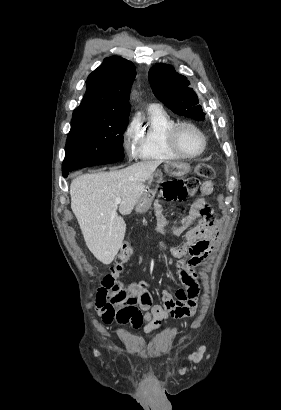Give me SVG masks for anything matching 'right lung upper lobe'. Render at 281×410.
<instances>
[{"label":"right lung upper lobe","instance_id":"cb5924a9","mask_svg":"<svg viewBox=\"0 0 281 410\" xmlns=\"http://www.w3.org/2000/svg\"><path fill=\"white\" fill-rule=\"evenodd\" d=\"M136 68L118 56L106 58L87 78V90L79 108L95 109L115 115H129V93Z\"/></svg>","mask_w":281,"mask_h":410}]
</instances>
